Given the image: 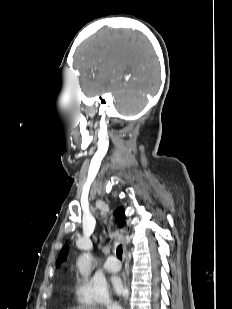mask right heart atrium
I'll return each mask as SVG.
<instances>
[{"mask_svg":"<svg viewBox=\"0 0 232 309\" xmlns=\"http://www.w3.org/2000/svg\"><path fill=\"white\" fill-rule=\"evenodd\" d=\"M77 301L86 307H114L105 287L89 280H79L75 285Z\"/></svg>","mask_w":232,"mask_h":309,"instance_id":"right-heart-atrium-1","label":"right heart atrium"}]
</instances>
